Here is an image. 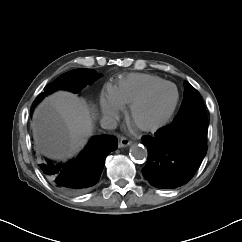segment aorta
Returning a JSON list of instances; mask_svg holds the SVG:
<instances>
[{
  "instance_id": "1",
  "label": "aorta",
  "mask_w": 242,
  "mask_h": 242,
  "mask_svg": "<svg viewBox=\"0 0 242 242\" xmlns=\"http://www.w3.org/2000/svg\"><path fill=\"white\" fill-rule=\"evenodd\" d=\"M130 155L136 160H145L147 157V149L142 144H133L130 147Z\"/></svg>"
}]
</instances>
